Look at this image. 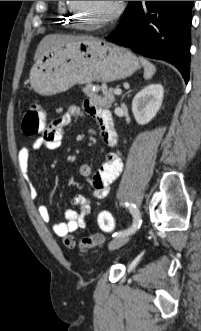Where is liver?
<instances>
[{"label": "liver", "instance_id": "liver-1", "mask_svg": "<svg viewBox=\"0 0 201 331\" xmlns=\"http://www.w3.org/2000/svg\"><path fill=\"white\" fill-rule=\"evenodd\" d=\"M83 39H92V37L70 36V35H62V34L47 35L39 43L37 50L35 52L34 59L37 60L42 54H44L51 48H53L61 43H67V42L78 41V40H83Z\"/></svg>", "mask_w": 201, "mask_h": 331}]
</instances>
